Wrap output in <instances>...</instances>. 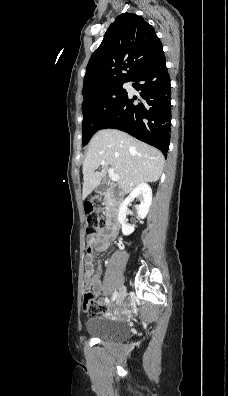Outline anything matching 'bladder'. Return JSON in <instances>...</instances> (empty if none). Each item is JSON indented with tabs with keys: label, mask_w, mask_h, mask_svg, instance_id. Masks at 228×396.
Returning a JSON list of instances; mask_svg holds the SVG:
<instances>
[{
	"label": "bladder",
	"mask_w": 228,
	"mask_h": 396,
	"mask_svg": "<svg viewBox=\"0 0 228 396\" xmlns=\"http://www.w3.org/2000/svg\"><path fill=\"white\" fill-rule=\"evenodd\" d=\"M85 328L89 335L112 342L123 341L130 335L127 325L118 320L90 318L86 321Z\"/></svg>",
	"instance_id": "31cf9c89"
}]
</instances>
